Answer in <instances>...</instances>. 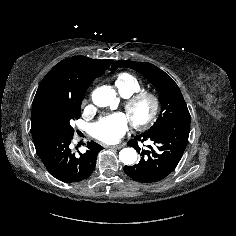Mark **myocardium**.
Masks as SVG:
<instances>
[{
	"mask_svg": "<svg viewBox=\"0 0 236 236\" xmlns=\"http://www.w3.org/2000/svg\"><path fill=\"white\" fill-rule=\"evenodd\" d=\"M144 101L148 102L150 105L149 112L144 118L136 120L132 117V112L139 103ZM160 106L161 103L158 95L151 91L145 90L130 95L124 102V109L131 121L132 126L136 129H143L151 125L158 117Z\"/></svg>",
	"mask_w": 236,
	"mask_h": 236,
	"instance_id": "1",
	"label": "myocardium"
}]
</instances>
